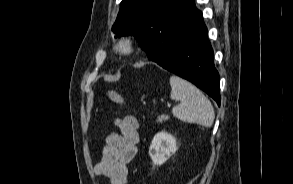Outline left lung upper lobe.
Here are the masks:
<instances>
[{"mask_svg": "<svg viewBox=\"0 0 293 184\" xmlns=\"http://www.w3.org/2000/svg\"><path fill=\"white\" fill-rule=\"evenodd\" d=\"M183 0H122L117 19L113 25L116 37L134 35L148 57L153 48L169 29L174 11Z\"/></svg>", "mask_w": 293, "mask_h": 184, "instance_id": "5c2ea615", "label": "left lung upper lobe"}]
</instances>
